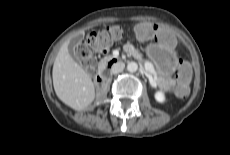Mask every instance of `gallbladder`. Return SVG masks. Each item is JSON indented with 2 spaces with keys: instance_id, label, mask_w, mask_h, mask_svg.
Segmentation results:
<instances>
[{
  "instance_id": "bac80fb5",
  "label": "gallbladder",
  "mask_w": 230,
  "mask_h": 155,
  "mask_svg": "<svg viewBox=\"0 0 230 155\" xmlns=\"http://www.w3.org/2000/svg\"><path fill=\"white\" fill-rule=\"evenodd\" d=\"M80 41V37L74 38L69 45V54L75 61H79V58L74 54L73 47Z\"/></svg>"
}]
</instances>
